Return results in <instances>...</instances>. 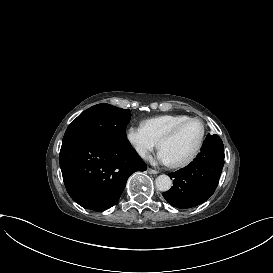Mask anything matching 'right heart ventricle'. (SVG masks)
Returning <instances> with one entry per match:
<instances>
[{
	"label": "right heart ventricle",
	"mask_w": 273,
	"mask_h": 273,
	"mask_svg": "<svg viewBox=\"0 0 273 273\" xmlns=\"http://www.w3.org/2000/svg\"><path fill=\"white\" fill-rule=\"evenodd\" d=\"M186 114H166L155 116L143 121V125L156 141H160L162 136L176 124L188 119Z\"/></svg>",
	"instance_id": "obj_1"
}]
</instances>
